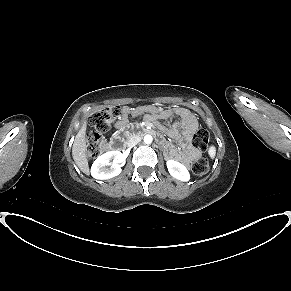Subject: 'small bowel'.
<instances>
[{
  "label": "small bowel",
  "mask_w": 291,
  "mask_h": 291,
  "mask_svg": "<svg viewBox=\"0 0 291 291\" xmlns=\"http://www.w3.org/2000/svg\"><path fill=\"white\" fill-rule=\"evenodd\" d=\"M155 110V109H153ZM144 115L147 122L159 125L160 118H173L178 122L169 128L168 134L181 142L182 148H177L173 145H167L166 154L170 159L181 161L185 164L195 160L199 153L191 145L190 137L198 128V121L190 110L185 108H177L175 110H164L160 115L155 113H147V108L144 106L137 108L124 107L121 119L116 123L115 127L119 130L123 129L128 122V117H136Z\"/></svg>",
  "instance_id": "obj_1"
}]
</instances>
